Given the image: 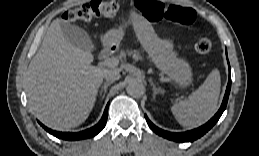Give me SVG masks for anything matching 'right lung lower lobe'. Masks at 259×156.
<instances>
[{
    "label": "right lung lower lobe",
    "instance_id": "1",
    "mask_svg": "<svg viewBox=\"0 0 259 156\" xmlns=\"http://www.w3.org/2000/svg\"><path fill=\"white\" fill-rule=\"evenodd\" d=\"M108 105L105 108L104 114L101 118V120L99 121L98 124H96L95 126L81 131V132H76V133H70V132H57L54 130H51L47 127H45L43 124H41L39 122V124L50 134L56 136L57 138L60 139H65V140H70V141H74V140H79V139H86V138H90V137H94L95 135H97L106 125L107 122V115H108Z\"/></svg>",
    "mask_w": 259,
    "mask_h": 156
}]
</instances>
